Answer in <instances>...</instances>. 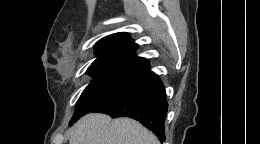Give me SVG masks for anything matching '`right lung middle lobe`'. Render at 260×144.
<instances>
[{
  "instance_id": "obj_1",
  "label": "right lung middle lobe",
  "mask_w": 260,
  "mask_h": 144,
  "mask_svg": "<svg viewBox=\"0 0 260 144\" xmlns=\"http://www.w3.org/2000/svg\"><path fill=\"white\" fill-rule=\"evenodd\" d=\"M87 72L94 78L78 99L74 115L70 122L77 121L108 100L127 85L138 73L135 71L108 68H90Z\"/></svg>"
}]
</instances>
